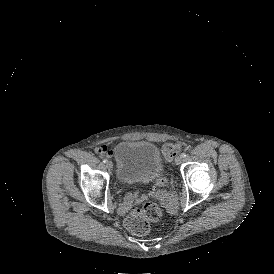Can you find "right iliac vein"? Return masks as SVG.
<instances>
[{"mask_svg":"<svg viewBox=\"0 0 274 274\" xmlns=\"http://www.w3.org/2000/svg\"><path fill=\"white\" fill-rule=\"evenodd\" d=\"M106 167H107L108 169H112V168H113V163H112L111 161H108V162L106 163Z\"/></svg>","mask_w":274,"mask_h":274,"instance_id":"obj_1","label":"right iliac vein"}]
</instances>
